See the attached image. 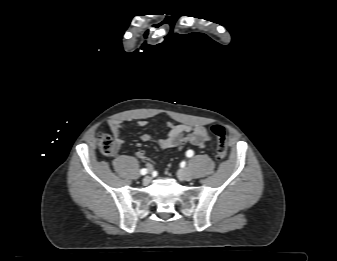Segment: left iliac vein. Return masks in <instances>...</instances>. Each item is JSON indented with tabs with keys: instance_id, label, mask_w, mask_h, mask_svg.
<instances>
[{
	"instance_id": "obj_1",
	"label": "left iliac vein",
	"mask_w": 337,
	"mask_h": 261,
	"mask_svg": "<svg viewBox=\"0 0 337 261\" xmlns=\"http://www.w3.org/2000/svg\"><path fill=\"white\" fill-rule=\"evenodd\" d=\"M179 176H180L181 179H183L185 181H190L192 179V173H191L189 168H184V169L180 170Z\"/></svg>"
}]
</instances>
